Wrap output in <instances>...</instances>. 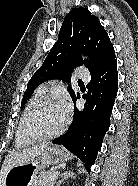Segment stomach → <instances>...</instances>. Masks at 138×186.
<instances>
[{
	"label": "stomach",
	"mask_w": 138,
	"mask_h": 186,
	"mask_svg": "<svg viewBox=\"0 0 138 186\" xmlns=\"http://www.w3.org/2000/svg\"><path fill=\"white\" fill-rule=\"evenodd\" d=\"M69 158L65 149L59 146L47 147L34 161L11 167L5 176L4 186H32L35 177L42 169Z\"/></svg>",
	"instance_id": "0dacf381"
}]
</instances>
